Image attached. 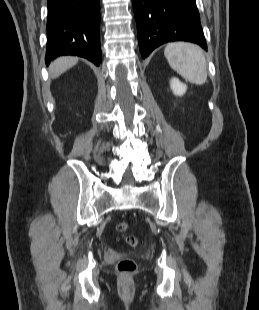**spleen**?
I'll use <instances>...</instances> for the list:
<instances>
[{
  "instance_id": "spleen-1",
  "label": "spleen",
  "mask_w": 259,
  "mask_h": 310,
  "mask_svg": "<svg viewBox=\"0 0 259 310\" xmlns=\"http://www.w3.org/2000/svg\"><path fill=\"white\" fill-rule=\"evenodd\" d=\"M164 55L171 68L187 81L196 85L206 82L207 62L199 46L185 42L170 43Z\"/></svg>"
}]
</instances>
